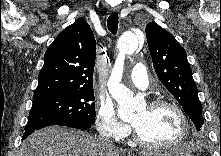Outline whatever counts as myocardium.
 Returning a JSON list of instances; mask_svg holds the SVG:
<instances>
[{
    "mask_svg": "<svg viewBox=\"0 0 221 156\" xmlns=\"http://www.w3.org/2000/svg\"><path fill=\"white\" fill-rule=\"evenodd\" d=\"M164 106L172 108L177 113L181 122V130H180L179 135L177 136L176 139H174L173 141L167 144L152 143V142L145 140L140 134V132L138 131L137 127L134 124H132L133 137H134V140L139 145L146 147V148H150V149H169L180 144L187 136L188 131H189L188 117L185 111L183 110V108L177 102L170 100V99H156V100L151 101L148 104V107L150 109H157L159 107H164Z\"/></svg>",
    "mask_w": 221,
    "mask_h": 156,
    "instance_id": "f54148a6",
    "label": "myocardium"
}]
</instances>
